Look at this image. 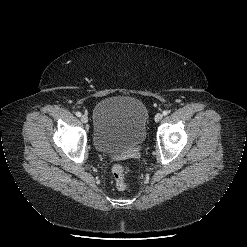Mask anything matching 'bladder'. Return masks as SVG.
<instances>
[{
	"mask_svg": "<svg viewBox=\"0 0 247 247\" xmlns=\"http://www.w3.org/2000/svg\"><path fill=\"white\" fill-rule=\"evenodd\" d=\"M148 111L142 101L113 96L99 101L93 111L92 140L98 152L125 156L146 139Z\"/></svg>",
	"mask_w": 247,
	"mask_h": 247,
	"instance_id": "31cf9c89",
	"label": "bladder"
}]
</instances>
